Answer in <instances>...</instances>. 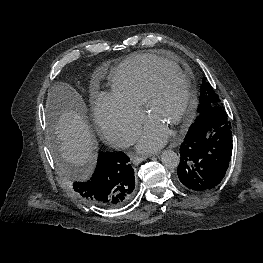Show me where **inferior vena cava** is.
I'll list each match as a JSON object with an SVG mask.
<instances>
[{
	"label": "inferior vena cava",
	"mask_w": 263,
	"mask_h": 263,
	"mask_svg": "<svg viewBox=\"0 0 263 263\" xmlns=\"http://www.w3.org/2000/svg\"><path fill=\"white\" fill-rule=\"evenodd\" d=\"M135 143V138L128 133L121 132L115 137V146L119 148H127Z\"/></svg>",
	"instance_id": "602c4592"
}]
</instances>
